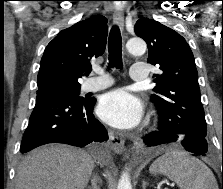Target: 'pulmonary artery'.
Here are the masks:
<instances>
[{
	"label": "pulmonary artery",
	"instance_id": "1",
	"mask_svg": "<svg viewBox=\"0 0 223 189\" xmlns=\"http://www.w3.org/2000/svg\"><path fill=\"white\" fill-rule=\"evenodd\" d=\"M100 77L92 78L84 84V90L88 92L99 91L107 88L112 84L110 77L103 71H100ZM148 72L146 65L144 64H133L130 69V77L134 82L146 81Z\"/></svg>",
	"mask_w": 223,
	"mask_h": 189
}]
</instances>
